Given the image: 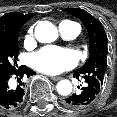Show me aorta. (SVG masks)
<instances>
[{
  "mask_svg": "<svg viewBox=\"0 0 117 117\" xmlns=\"http://www.w3.org/2000/svg\"><path fill=\"white\" fill-rule=\"evenodd\" d=\"M35 37L41 43H51L58 38L56 26L49 21H41L35 28ZM57 92L62 96H67L72 92V83L69 80H61L56 86Z\"/></svg>",
  "mask_w": 117,
  "mask_h": 117,
  "instance_id": "762f6f07",
  "label": "aorta"
}]
</instances>
